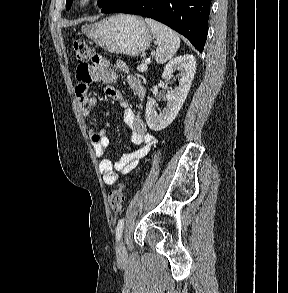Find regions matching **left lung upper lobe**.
Instances as JSON below:
<instances>
[{
  "label": "left lung upper lobe",
  "instance_id": "obj_1",
  "mask_svg": "<svg viewBox=\"0 0 288 293\" xmlns=\"http://www.w3.org/2000/svg\"><path fill=\"white\" fill-rule=\"evenodd\" d=\"M115 0H98V5L99 7L106 8L108 7L112 2H114ZM73 0H66V9L69 10L71 7Z\"/></svg>",
  "mask_w": 288,
  "mask_h": 293
}]
</instances>
